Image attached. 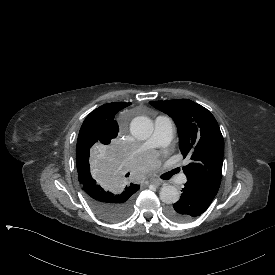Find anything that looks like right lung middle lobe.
Returning a JSON list of instances; mask_svg holds the SVG:
<instances>
[{
	"label": "right lung middle lobe",
	"mask_w": 275,
	"mask_h": 275,
	"mask_svg": "<svg viewBox=\"0 0 275 275\" xmlns=\"http://www.w3.org/2000/svg\"><path fill=\"white\" fill-rule=\"evenodd\" d=\"M76 161L79 183L89 205L107 220L125 219L132 209L133 194L122 192L105 147L78 138Z\"/></svg>",
	"instance_id": "right-lung-middle-lobe-1"
}]
</instances>
